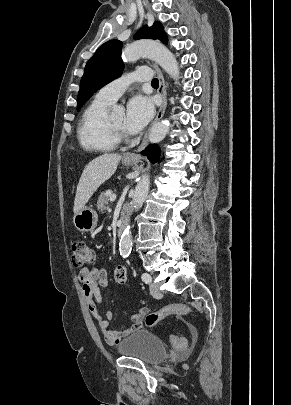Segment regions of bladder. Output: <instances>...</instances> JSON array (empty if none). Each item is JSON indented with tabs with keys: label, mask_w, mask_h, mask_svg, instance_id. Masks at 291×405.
<instances>
[{
	"label": "bladder",
	"mask_w": 291,
	"mask_h": 405,
	"mask_svg": "<svg viewBox=\"0 0 291 405\" xmlns=\"http://www.w3.org/2000/svg\"><path fill=\"white\" fill-rule=\"evenodd\" d=\"M117 349L121 355L139 359L146 364L160 363L167 356L163 340L145 329L132 332L118 344Z\"/></svg>",
	"instance_id": "bladder-1"
}]
</instances>
